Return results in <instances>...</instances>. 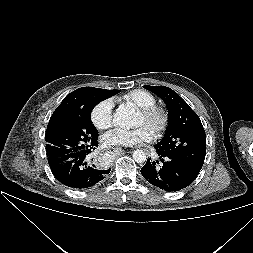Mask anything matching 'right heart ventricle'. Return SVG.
Segmentation results:
<instances>
[{
    "instance_id": "e07e8e85",
    "label": "right heart ventricle",
    "mask_w": 253,
    "mask_h": 253,
    "mask_svg": "<svg viewBox=\"0 0 253 253\" xmlns=\"http://www.w3.org/2000/svg\"><path fill=\"white\" fill-rule=\"evenodd\" d=\"M127 102L133 103L139 109L156 105L155 96L149 91L143 89H135L124 95Z\"/></svg>"
}]
</instances>
